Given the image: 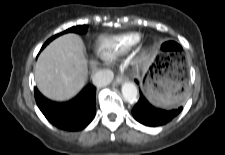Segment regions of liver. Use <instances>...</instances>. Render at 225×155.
<instances>
[{
	"label": "liver",
	"mask_w": 225,
	"mask_h": 155,
	"mask_svg": "<svg viewBox=\"0 0 225 155\" xmlns=\"http://www.w3.org/2000/svg\"><path fill=\"white\" fill-rule=\"evenodd\" d=\"M87 60L81 38L73 33L53 40L39 55L35 79L40 92L55 101L77 95L87 82Z\"/></svg>",
	"instance_id": "obj_1"
}]
</instances>
